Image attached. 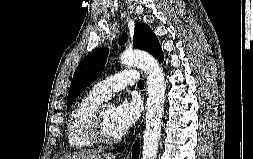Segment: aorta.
Segmentation results:
<instances>
[{
    "instance_id": "1",
    "label": "aorta",
    "mask_w": 253,
    "mask_h": 159,
    "mask_svg": "<svg viewBox=\"0 0 253 159\" xmlns=\"http://www.w3.org/2000/svg\"><path fill=\"white\" fill-rule=\"evenodd\" d=\"M124 65L138 66L146 74L147 103L146 125L143 135L142 159H156L161 136L164 110L165 81L163 70L150 54L138 50L124 51L120 56Z\"/></svg>"
}]
</instances>
